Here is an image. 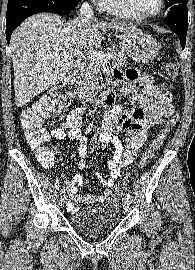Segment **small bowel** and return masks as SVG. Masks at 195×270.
Wrapping results in <instances>:
<instances>
[{
  "mask_svg": "<svg viewBox=\"0 0 195 270\" xmlns=\"http://www.w3.org/2000/svg\"><path fill=\"white\" fill-rule=\"evenodd\" d=\"M114 76L122 84L123 92L131 94L140 102L141 107L114 105L106 113L103 133L99 137V142L104 151L111 152V158L107 162L109 177L104 178L101 173H96V177L106 189L98 194L77 195L78 186L83 183V178L80 174H75L72 182L68 185L70 200L67 210L72 214L78 211L77 203L79 202L115 201L117 197L111 189L121 174V168L133 162L151 131L156 129L164 118L170 117L174 112L170 92L163 83L158 82L153 76L141 75L135 69L116 72ZM83 115L84 109L82 108L71 111L65 122L50 133L57 140L70 138L78 141L81 158L78 166L81 169L86 166L84 159L87 155V133L91 128L90 123L84 128L82 127ZM122 139L125 143L124 147Z\"/></svg>",
  "mask_w": 195,
  "mask_h": 270,
  "instance_id": "c3829d8e",
  "label": "small bowel"
}]
</instances>
